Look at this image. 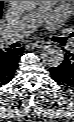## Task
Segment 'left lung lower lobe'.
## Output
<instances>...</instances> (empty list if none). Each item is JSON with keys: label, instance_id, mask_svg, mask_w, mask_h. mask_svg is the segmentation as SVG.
<instances>
[{"label": "left lung lower lobe", "instance_id": "left-lung-lower-lobe-1", "mask_svg": "<svg viewBox=\"0 0 74 122\" xmlns=\"http://www.w3.org/2000/svg\"><path fill=\"white\" fill-rule=\"evenodd\" d=\"M52 79L64 87H74V49L66 51L63 62L50 68Z\"/></svg>", "mask_w": 74, "mask_h": 122}]
</instances>
